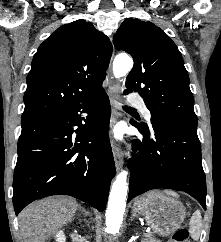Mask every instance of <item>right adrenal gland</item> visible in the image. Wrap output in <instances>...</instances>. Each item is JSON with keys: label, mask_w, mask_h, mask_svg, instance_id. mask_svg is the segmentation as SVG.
<instances>
[{"label": "right adrenal gland", "mask_w": 221, "mask_h": 242, "mask_svg": "<svg viewBox=\"0 0 221 242\" xmlns=\"http://www.w3.org/2000/svg\"><path fill=\"white\" fill-rule=\"evenodd\" d=\"M78 209H79L80 213L84 214L85 216H90L89 212L85 208L79 206ZM86 224L89 225V222L86 221Z\"/></svg>", "instance_id": "2a0ac1e0"}]
</instances>
